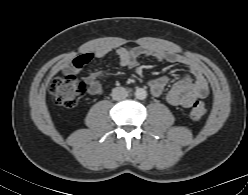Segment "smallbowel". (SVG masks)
I'll list each match as a JSON object with an SVG mask.
<instances>
[{"label": "small bowel", "instance_id": "1", "mask_svg": "<svg viewBox=\"0 0 248 195\" xmlns=\"http://www.w3.org/2000/svg\"><path fill=\"white\" fill-rule=\"evenodd\" d=\"M109 53L108 50H98L96 52L77 57L69 65L63 68L64 73H78L83 70L84 65L94 58H103ZM114 53L118 57L119 64L128 68H136L141 63V58L154 57L159 61H168L189 66L190 75H184L175 82L167 94V101L173 106L189 108L196 99L208 96L209 86L202 67L187 58L175 54L171 51L151 47L116 48ZM102 72H90L84 75L83 80L88 86V91L92 95L103 93ZM166 76L149 80L150 91L153 96H160L168 83Z\"/></svg>", "mask_w": 248, "mask_h": 195}]
</instances>
